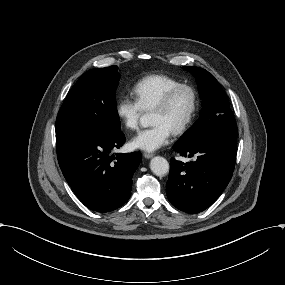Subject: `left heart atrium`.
I'll use <instances>...</instances> for the list:
<instances>
[{
    "label": "left heart atrium",
    "instance_id": "1",
    "mask_svg": "<svg viewBox=\"0 0 285 285\" xmlns=\"http://www.w3.org/2000/svg\"><path fill=\"white\" fill-rule=\"evenodd\" d=\"M172 129L162 123L156 122L140 131L132 140V144L140 149L153 151L168 143Z\"/></svg>",
    "mask_w": 285,
    "mask_h": 285
}]
</instances>
